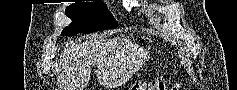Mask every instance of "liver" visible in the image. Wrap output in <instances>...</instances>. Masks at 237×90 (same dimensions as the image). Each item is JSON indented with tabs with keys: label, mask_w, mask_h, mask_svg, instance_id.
Masks as SVG:
<instances>
[{
	"label": "liver",
	"mask_w": 237,
	"mask_h": 90,
	"mask_svg": "<svg viewBox=\"0 0 237 90\" xmlns=\"http://www.w3.org/2000/svg\"><path fill=\"white\" fill-rule=\"evenodd\" d=\"M115 44L110 40H90L82 44H67L60 60L64 90H85L89 84L92 64L102 66L112 60Z\"/></svg>",
	"instance_id": "1"
}]
</instances>
